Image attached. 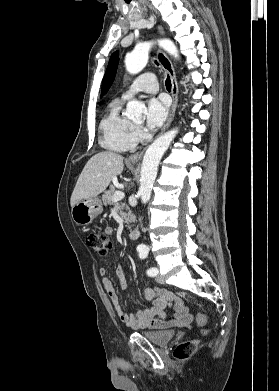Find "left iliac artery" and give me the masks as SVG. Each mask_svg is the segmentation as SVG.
I'll use <instances>...</instances> for the list:
<instances>
[{
    "mask_svg": "<svg viewBox=\"0 0 279 391\" xmlns=\"http://www.w3.org/2000/svg\"><path fill=\"white\" fill-rule=\"evenodd\" d=\"M139 257L141 259H145L147 256H148V251L145 250V249H139ZM158 274V269L155 268V267H151L147 270V275L148 276H151V277H154Z\"/></svg>",
    "mask_w": 279,
    "mask_h": 391,
    "instance_id": "obj_1",
    "label": "left iliac artery"
}]
</instances>
